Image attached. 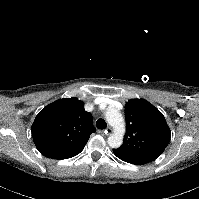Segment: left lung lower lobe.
<instances>
[{"label":"left lung lower lobe","mask_w":199,"mask_h":199,"mask_svg":"<svg viewBox=\"0 0 199 199\" xmlns=\"http://www.w3.org/2000/svg\"><path fill=\"white\" fill-rule=\"evenodd\" d=\"M115 153V152H114ZM115 155L120 158L121 160L127 162V163H131V164H135V165H141V164H145L141 161H138V160H135V159H132V158H129V157H126V156H122V155H119V154H116Z\"/></svg>","instance_id":"obj_1"}]
</instances>
